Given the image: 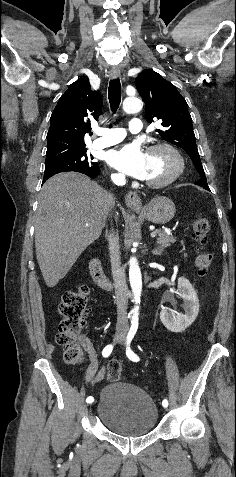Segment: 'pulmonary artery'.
<instances>
[{
  "instance_id": "e3ab8cb5",
  "label": "pulmonary artery",
  "mask_w": 236,
  "mask_h": 477,
  "mask_svg": "<svg viewBox=\"0 0 236 477\" xmlns=\"http://www.w3.org/2000/svg\"><path fill=\"white\" fill-rule=\"evenodd\" d=\"M128 128L132 133L141 132L143 130L141 119L132 118L129 121ZM97 134L100 135V137L94 140L93 145L96 148H105L122 141L126 136V131L122 128H100Z\"/></svg>"
}]
</instances>
